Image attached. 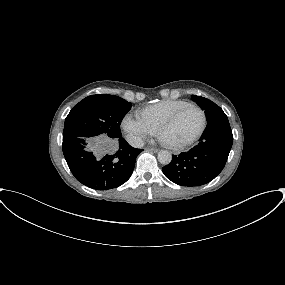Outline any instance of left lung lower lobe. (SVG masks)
Masks as SVG:
<instances>
[{"label": "left lung lower lobe", "instance_id": "obj_1", "mask_svg": "<svg viewBox=\"0 0 285 285\" xmlns=\"http://www.w3.org/2000/svg\"><path fill=\"white\" fill-rule=\"evenodd\" d=\"M199 144L181 154L162 168L172 182L187 187L200 186L212 181L223 170L233 143L228 118L208 122Z\"/></svg>", "mask_w": 285, "mask_h": 285}]
</instances>
